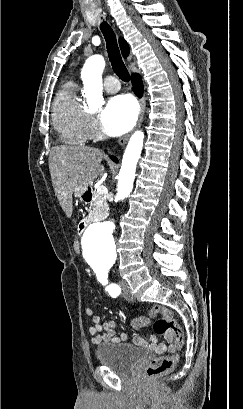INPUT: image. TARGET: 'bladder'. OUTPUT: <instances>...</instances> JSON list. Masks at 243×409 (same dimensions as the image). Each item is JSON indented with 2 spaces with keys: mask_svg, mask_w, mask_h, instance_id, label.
I'll list each match as a JSON object with an SVG mask.
<instances>
[{
  "mask_svg": "<svg viewBox=\"0 0 243 409\" xmlns=\"http://www.w3.org/2000/svg\"><path fill=\"white\" fill-rule=\"evenodd\" d=\"M98 362L117 373H129L139 362L148 358L146 349L124 343L103 344L96 349Z\"/></svg>",
  "mask_w": 243,
  "mask_h": 409,
  "instance_id": "obj_1",
  "label": "bladder"
}]
</instances>
